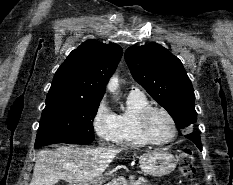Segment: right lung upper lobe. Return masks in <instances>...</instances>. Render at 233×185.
<instances>
[{
	"mask_svg": "<svg viewBox=\"0 0 233 185\" xmlns=\"http://www.w3.org/2000/svg\"><path fill=\"white\" fill-rule=\"evenodd\" d=\"M122 56V48L87 40L73 50L56 71L48 94H63L99 100L105 84L115 71Z\"/></svg>",
	"mask_w": 233,
	"mask_h": 185,
	"instance_id": "1",
	"label": "right lung upper lobe"
}]
</instances>
